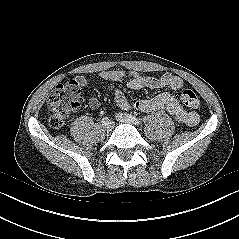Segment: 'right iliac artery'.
Here are the masks:
<instances>
[{"label":"right iliac artery","mask_w":239,"mask_h":239,"mask_svg":"<svg viewBox=\"0 0 239 239\" xmlns=\"http://www.w3.org/2000/svg\"><path fill=\"white\" fill-rule=\"evenodd\" d=\"M102 123L109 126H115V121H111V119H108L107 117L102 119Z\"/></svg>","instance_id":"right-iliac-artery-1"}]
</instances>
